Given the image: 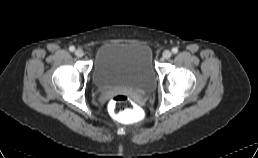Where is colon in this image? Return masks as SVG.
<instances>
[{
    "mask_svg": "<svg viewBox=\"0 0 258 158\" xmlns=\"http://www.w3.org/2000/svg\"><path fill=\"white\" fill-rule=\"evenodd\" d=\"M108 109L113 116L124 118L132 111L133 103L127 95L116 94L111 98Z\"/></svg>",
    "mask_w": 258,
    "mask_h": 158,
    "instance_id": "1",
    "label": "colon"
}]
</instances>
